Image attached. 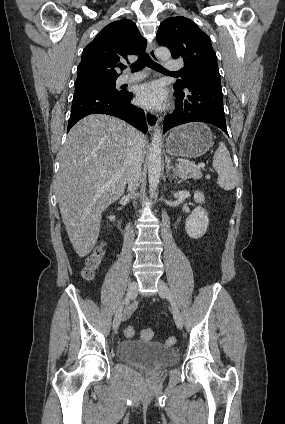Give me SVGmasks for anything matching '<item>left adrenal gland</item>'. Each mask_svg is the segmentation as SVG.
Instances as JSON below:
<instances>
[{
    "label": "left adrenal gland",
    "mask_w": 285,
    "mask_h": 424,
    "mask_svg": "<svg viewBox=\"0 0 285 424\" xmlns=\"http://www.w3.org/2000/svg\"><path fill=\"white\" fill-rule=\"evenodd\" d=\"M166 174H167V176L169 175L168 173L172 170V171H175V168H174V166H172L170 163H171V159H170V157H166Z\"/></svg>",
    "instance_id": "a2214340"
}]
</instances>
